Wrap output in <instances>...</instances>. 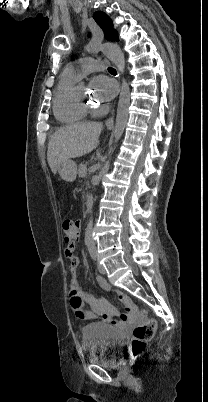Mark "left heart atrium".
<instances>
[{"mask_svg": "<svg viewBox=\"0 0 208 402\" xmlns=\"http://www.w3.org/2000/svg\"><path fill=\"white\" fill-rule=\"evenodd\" d=\"M95 82L99 88L101 100H110L116 93V85L114 81L104 75L96 77Z\"/></svg>", "mask_w": 208, "mask_h": 402, "instance_id": "obj_1", "label": "left heart atrium"}]
</instances>
